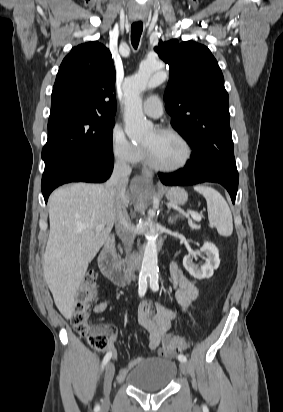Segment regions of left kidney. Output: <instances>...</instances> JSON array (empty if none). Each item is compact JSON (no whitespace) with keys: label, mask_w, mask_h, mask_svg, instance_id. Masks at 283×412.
I'll use <instances>...</instances> for the list:
<instances>
[{"label":"left kidney","mask_w":283,"mask_h":412,"mask_svg":"<svg viewBox=\"0 0 283 412\" xmlns=\"http://www.w3.org/2000/svg\"><path fill=\"white\" fill-rule=\"evenodd\" d=\"M199 253L206 255L205 263L201 267L194 264L193 256L191 255L183 258V266L194 278H209L213 275L214 270L219 267V251L214 244L205 242Z\"/></svg>","instance_id":"obj_1"}]
</instances>
